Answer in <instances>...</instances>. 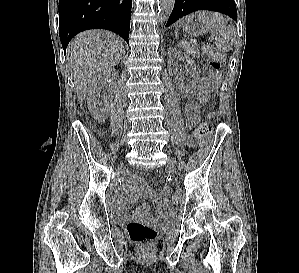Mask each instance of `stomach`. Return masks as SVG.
<instances>
[{
    "instance_id": "obj_1",
    "label": "stomach",
    "mask_w": 299,
    "mask_h": 273,
    "mask_svg": "<svg viewBox=\"0 0 299 273\" xmlns=\"http://www.w3.org/2000/svg\"><path fill=\"white\" fill-rule=\"evenodd\" d=\"M180 28L192 36L203 35L209 31L208 27L198 17H194L190 21H184L180 24Z\"/></svg>"
}]
</instances>
